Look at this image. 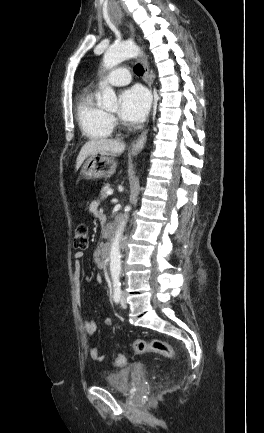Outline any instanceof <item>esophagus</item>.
I'll return each mask as SVG.
<instances>
[{
	"instance_id": "esophagus-1",
	"label": "esophagus",
	"mask_w": 264,
	"mask_h": 433,
	"mask_svg": "<svg viewBox=\"0 0 264 433\" xmlns=\"http://www.w3.org/2000/svg\"><path fill=\"white\" fill-rule=\"evenodd\" d=\"M142 65H143V72H144V80L147 83V85L149 86L150 90H152V78L151 75L149 73V68L146 62V59L142 58ZM147 132L148 130L145 129L141 135L137 138V140L133 143L132 148H131V154L132 155H137L142 148L145 145L146 139H147Z\"/></svg>"
}]
</instances>
